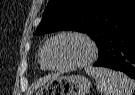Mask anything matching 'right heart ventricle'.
Here are the masks:
<instances>
[{
    "mask_svg": "<svg viewBox=\"0 0 135 95\" xmlns=\"http://www.w3.org/2000/svg\"><path fill=\"white\" fill-rule=\"evenodd\" d=\"M48 41L47 40L41 47L40 49V52H39V64H40V67L42 70H47L48 68L46 67L45 65V60H44V53H45V49H46V46L48 44Z\"/></svg>",
    "mask_w": 135,
    "mask_h": 95,
    "instance_id": "e07e8e85",
    "label": "right heart ventricle"
}]
</instances>
